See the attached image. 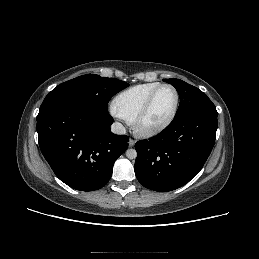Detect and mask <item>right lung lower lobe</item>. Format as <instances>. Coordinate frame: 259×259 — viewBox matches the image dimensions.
I'll return each instance as SVG.
<instances>
[{
    "label": "right lung lower lobe",
    "instance_id": "obj_1",
    "mask_svg": "<svg viewBox=\"0 0 259 259\" xmlns=\"http://www.w3.org/2000/svg\"><path fill=\"white\" fill-rule=\"evenodd\" d=\"M112 116L80 103H61L37 116L41 152L56 176L81 191L102 188L128 136L111 132Z\"/></svg>",
    "mask_w": 259,
    "mask_h": 259
}]
</instances>
